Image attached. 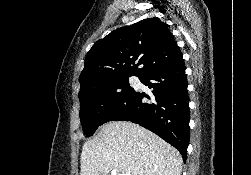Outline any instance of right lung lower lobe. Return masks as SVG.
Returning a JSON list of instances; mask_svg holds the SVG:
<instances>
[{
    "instance_id": "1",
    "label": "right lung lower lobe",
    "mask_w": 251,
    "mask_h": 175,
    "mask_svg": "<svg viewBox=\"0 0 251 175\" xmlns=\"http://www.w3.org/2000/svg\"><path fill=\"white\" fill-rule=\"evenodd\" d=\"M139 79L152 88L151 98L134 90L104 116L102 124L114 120L137 123L174 146L185 162L190 113L184 61L155 69ZM144 97L150 101H143Z\"/></svg>"
}]
</instances>
